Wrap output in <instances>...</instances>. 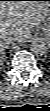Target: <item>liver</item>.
I'll return each mask as SVG.
<instances>
[{"label":"liver","instance_id":"1","mask_svg":"<svg viewBox=\"0 0 50 111\" xmlns=\"http://www.w3.org/2000/svg\"><path fill=\"white\" fill-rule=\"evenodd\" d=\"M49 3L29 0H9L0 3V40L2 45L8 37L24 41L30 36V30L48 19Z\"/></svg>","mask_w":50,"mask_h":111}]
</instances>
